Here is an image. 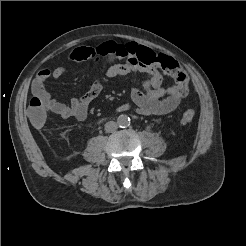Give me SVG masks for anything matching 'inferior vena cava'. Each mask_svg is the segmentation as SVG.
Returning a JSON list of instances; mask_svg holds the SVG:
<instances>
[{"label": "inferior vena cava", "mask_w": 246, "mask_h": 246, "mask_svg": "<svg viewBox=\"0 0 246 246\" xmlns=\"http://www.w3.org/2000/svg\"><path fill=\"white\" fill-rule=\"evenodd\" d=\"M117 128H118V124L114 121H109L105 124L106 132H109V133L114 132L117 130Z\"/></svg>", "instance_id": "1"}]
</instances>
